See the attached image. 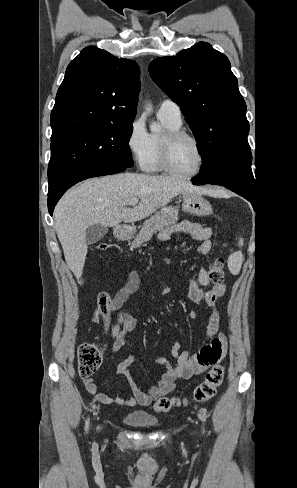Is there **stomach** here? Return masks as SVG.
Returning a JSON list of instances; mask_svg holds the SVG:
<instances>
[{
  "label": "stomach",
  "instance_id": "stomach-1",
  "mask_svg": "<svg viewBox=\"0 0 297 488\" xmlns=\"http://www.w3.org/2000/svg\"><path fill=\"white\" fill-rule=\"evenodd\" d=\"M183 210L193 216L204 217L212 213L213 209L210 203L196 192H183ZM117 235L120 238H130L131 233L127 230L119 229Z\"/></svg>",
  "mask_w": 297,
  "mask_h": 488
}]
</instances>
